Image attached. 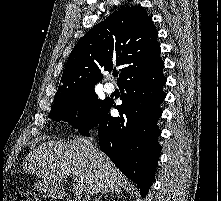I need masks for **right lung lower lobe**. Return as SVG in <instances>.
I'll list each match as a JSON object with an SVG mask.
<instances>
[{
	"label": "right lung lower lobe",
	"instance_id": "obj_1",
	"mask_svg": "<svg viewBox=\"0 0 221 201\" xmlns=\"http://www.w3.org/2000/svg\"><path fill=\"white\" fill-rule=\"evenodd\" d=\"M163 67L161 61L152 69L120 83L123 103L116 107L120 116L114 118L109 114L113 105V101H109L97 123L81 131L89 136V131L97 128L100 149L138 184L143 198L152 185L161 150L157 121L162 114L159 104L166 97Z\"/></svg>",
	"mask_w": 221,
	"mask_h": 201
}]
</instances>
